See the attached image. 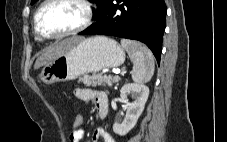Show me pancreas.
<instances>
[{
  "label": "pancreas",
  "instance_id": "obj_1",
  "mask_svg": "<svg viewBox=\"0 0 227 142\" xmlns=\"http://www.w3.org/2000/svg\"><path fill=\"white\" fill-rule=\"evenodd\" d=\"M120 81L119 76H110L102 74H84L82 77H79L78 82L83 83L85 86H112V84Z\"/></svg>",
  "mask_w": 227,
  "mask_h": 142
}]
</instances>
